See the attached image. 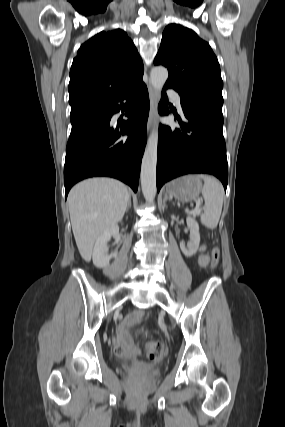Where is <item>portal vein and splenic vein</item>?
Segmentation results:
<instances>
[{
    "mask_svg": "<svg viewBox=\"0 0 285 427\" xmlns=\"http://www.w3.org/2000/svg\"><path fill=\"white\" fill-rule=\"evenodd\" d=\"M200 204V202H198V205ZM200 212V209H198V208H196V209H193V210H189V211H186V213L187 214H190V215H195V214H197V213H199Z\"/></svg>",
    "mask_w": 285,
    "mask_h": 427,
    "instance_id": "obj_1",
    "label": "portal vein and splenic vein"
}]
</instances>
